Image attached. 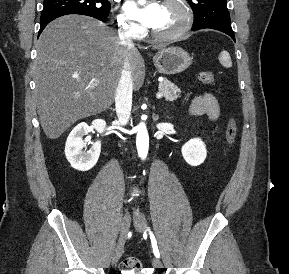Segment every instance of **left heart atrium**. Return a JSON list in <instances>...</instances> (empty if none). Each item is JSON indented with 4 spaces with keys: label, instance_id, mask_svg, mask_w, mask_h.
Wrapping results in <instances>:
<instances>
[{
    "label": "left heart atrium",
    "instance_id": "obj_1",
    "mask_svg": "<svg viewBox=\"0 0 289 274\" xmlns=\"http://www.w3.org/2000/svg\"><path fill=\"white\" fill-rule=\"evenodd\" d=\"M125 10L130 17L138 20L145 26L152 27L158 17L160 4L151 1L144 6H139L134 1H127L125 4Z\"/></svg>",
    "mask_w": 289,
    "mask_h": 274
}]
</instances>
